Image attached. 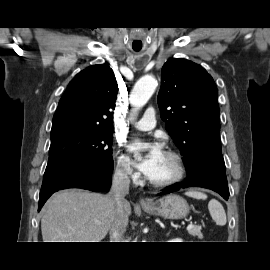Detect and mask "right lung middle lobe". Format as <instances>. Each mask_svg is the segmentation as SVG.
I'll return each mask as SVG.
<instances>
[{"label":"right lung middle lobe","instance_id":"obj_1","mask_svg":"<svg viewBox=\"0 0 270 270\" xmlns=\"http://www.w3.org/2000/svg\"><path fill=\"white\" fill-rule=\"evenodd\" d=\"M113 129L65 125L51 130V145L46 168L78 158H87L102 170L113 168Z\"/></svg>","mask_w":270,"mask_h":270}]
</instances>
